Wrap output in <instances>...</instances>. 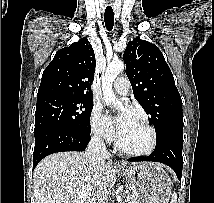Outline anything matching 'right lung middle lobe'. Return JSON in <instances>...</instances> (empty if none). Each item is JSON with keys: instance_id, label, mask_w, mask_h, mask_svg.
<instances>
[{"instance_id": "obj_1", "label": "right lung middle lobe", "mask_w": 214, "mask_h": 203, "mask_svg": "<svg viewBox=\"0 0 214 203\" xmlns=\"http://www.w3.org/2000/svg\"><path fill=\"white\" fill-rule=\"evenodd\" d=\"M92 108V97L56 94L37 98L34 133L56 126L90 134Z\"/></svg>"}]
</instances>
